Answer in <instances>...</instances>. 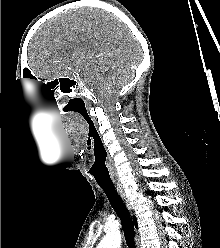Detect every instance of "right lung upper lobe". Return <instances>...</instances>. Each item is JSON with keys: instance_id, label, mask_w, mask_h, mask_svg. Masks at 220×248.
Wrapping results in <instances>:
<instances>
[{"instance_id": "cb5924a9", "label": "right lung upper lobe", "mask_w": 220, "mask_h": 248, "mask_svg": "<svg viewBox=\"0 0 220 248\" xmlns=\"http://www.w3.org/2000/svg\"><path fill=\"white\" fill-rule=\"evenodd\" d=\"M134 224H135V227L137 228V221H136L135 217H134Z\"/></svg>"}]
</instances>
